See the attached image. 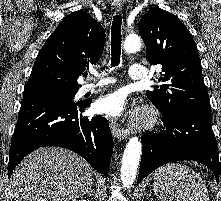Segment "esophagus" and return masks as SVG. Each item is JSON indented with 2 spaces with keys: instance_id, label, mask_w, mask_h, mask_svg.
<instances>
[{
  "instance_id": "obj_1",
  "label": "esophagus",
  "mask_w": 221,
  "mask_h": 201,
  "mask_svg": "<svg viewBox=\"0 0 221 201\" xmlns=\"http://www.w3.org/2000/svg\"><path fill=\"white\" fill-rule=\"evenodd\" d=\"M123 0H114V8L117 12H120L123 8ZM110 129L115 138L118 140H124L130 135V131L121 127L116 121L111 120Z\"/></svg>"
}]
</instances>
